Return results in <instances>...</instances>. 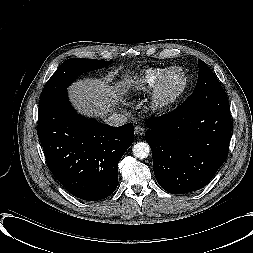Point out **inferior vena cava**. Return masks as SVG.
<instances>
[{
    "mask_svg": "<svg viewBox=\"0 0 253 253\" xmlns=\"http://www.w3.org/2000/svg\"><path fill=\"white\" fill-rule=\"evenodd\" d=\"M105 122L110 126L118 127L126 124L127 117L120 113L119 114L113 113L105 120Z\"/></svg>",
    "mask_w": 253,
    "mask_h": 253,
    "instance_id": "inferior-vena-cava-1",
    "label": "inferior vena cava"
}]
</instances>
